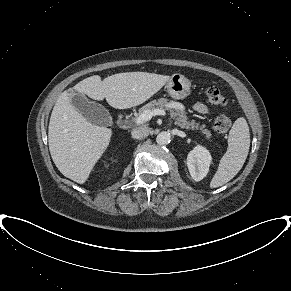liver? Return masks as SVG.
Masks as SVG:
<instances>
[{
    "instance_id": "6515ba94",
    "label": "liver",
    "mask_w": 291,
    "mask_h": 291,
    "mask_svg": "<svg viewBox=\"0 0 291 291\" xmlns=\"http://www.w3.org/2000/svg\"><path fill=\"white\" fill-rule=\"evenodd\" d=\"M170 76L147 72H125L106 77H88L71 90L98 101L106 99L116 109L138 106L157 93ZM112 130L92 124L73 106L69 90L52 110L48 143L53 162L67 178L83 184L110 143Z\"/></svg>"
}]
</instances>
